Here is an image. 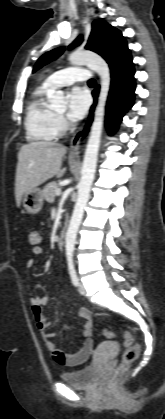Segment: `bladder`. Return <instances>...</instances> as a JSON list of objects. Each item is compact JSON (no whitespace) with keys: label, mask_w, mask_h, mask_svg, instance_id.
I'll use <instances>...</instances> for the list:
<instances>
[{"label":"bladder","mask_w":165,"mask_h":419,"mask_svg":"<svg viewBox=\"0 0 165 419\" xmlns=\"http://www.w3.org/2000/svg\"><path fill=\"white\" fill-rule=\"evenodd\" d=\"M61 379L68 386L78 389L93 388L98 382L99 376L95 365H88L79 369L65 371Z\"/></svg>","instance_id":"31cf9c89"}]
</instances>
